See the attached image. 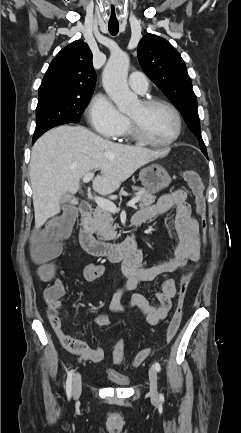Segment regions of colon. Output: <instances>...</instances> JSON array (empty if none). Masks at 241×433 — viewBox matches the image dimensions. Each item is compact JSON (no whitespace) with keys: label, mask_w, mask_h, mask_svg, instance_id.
Returning <instances> with one entry per match:
<instances>
[{"label":"colon","mask_w":241,"mask_h":433,"mask_svg":"<svg viewBox=\"0 0 241 433\" xmlns=\"http://www.w3.org/2000/svg\"><path fill=\"white\" fill-rule=\"evenodd\" d=\"M185 178L193 191L195 198L196 211L203 219L205 215V198L203 184L198 174L193 170L185 171ZM60 216L55 218L49 226L37 237H35L31 245V255L33 259L42 264L40 269L41 277L44 280H50L53 277L54 271L52 268L44 264L50 261L58 254L61 248V241L68 236L72 225V214H79V205H60ZM191 279V273L187 272L183 275L180 281L179 298L176 310L168 324L166 331V340L171 341L181 324L184 303L188 291V286ZM58 290L49 288L45 292L47 299H52L58 294ZM150 355L149 350L138 352L131 361L133 367L141 365ZM125 358V344L122 339L118 340L113 349V360L117 364H121ZM112 372V371H110Z\"/></svg>","instance_id":"5ec220e1"}]
</instances>
